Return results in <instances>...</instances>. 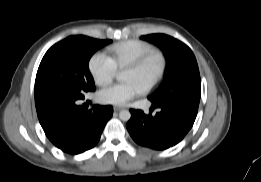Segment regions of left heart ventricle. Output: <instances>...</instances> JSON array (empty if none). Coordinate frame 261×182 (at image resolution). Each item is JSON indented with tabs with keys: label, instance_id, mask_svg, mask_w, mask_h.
Masks as SVG:
<instances>
[{
	"label": "left heart ventricle",
	"instance_id": "b2bd125f",
	"mask_svg": "<svg viewBox=\"0 0 261 182\" xmlns=\"http://www.w3.org/2000/svg\"><path fill=\"white\" fill-rule=\"evenodd\" d=\"M160 68V61L154 57L138 70H124L123 81H134L144 88L157 75Z\"/></svg>",
	"mask_w": 261,
	"mask_h": 182
}]
</instances>
